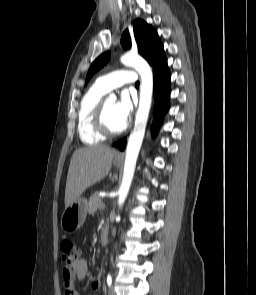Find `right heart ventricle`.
<instances>
[{
  "label": "right heart ventricle",
  "mask_w": 256,
  "mask_h": 295,
  "mask_svg": "<svg viewBox=\"0 0 256 295\" xmlns=\"http://www.w3.org/2000/svg\"><path fill=\"white\" fill-rule=\"evenodd\" d=\"M106 93L95 84L86 92L81 100L78 111V133L81 141L85 144H98L105 138L94 126V112Z\"/></svg>",
  "instance_id": "1"
}]
</instances>
